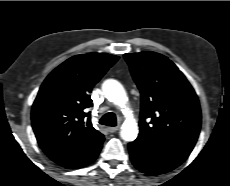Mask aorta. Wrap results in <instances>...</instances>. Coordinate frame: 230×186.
Returning a JSON list of instances; mask_svg holds the SVG:
<instances>
[{
	"mask_svg": "<svg viewBox=\"0 0 230 186\" xmlns=\"http://www.w3.org/2000/svg\"><path fill=\"white\" fill-rule=\"evenodd\" d=\"M102 90L104 92L105 97L113 102L115 105L119 107H124L128 101L127 94L125 89L118 81L114 79H108L103 82ZM138 134V126L137 122L129 118L127 119L120 130V136L124 141H133L137 138Z\"/></svg>",
	"mask_w": 230,
	"mask_h": 186,
	"instance_id": "aorta-1",
	"label": "aorta"
}]
</instances>
